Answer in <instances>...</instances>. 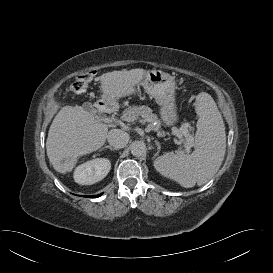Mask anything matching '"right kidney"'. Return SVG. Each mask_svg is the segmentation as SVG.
Masks as SVG:
<instances>
[{"label":"right kidney","instance_id":"ca27d5eb","mask_svg":"<svg viewBox=\"0 0 273 273\" xmlns=\"http://www.w3.org/2000/svg\"><path fill=\"white\" fill-rule=\"evenodd\" d=\"M111 169L105 158H96L79 165L74 171V180L80 185H92L102 180Z\"/></svg>","mask_w":273,"mask_h":273}]
</instances>
